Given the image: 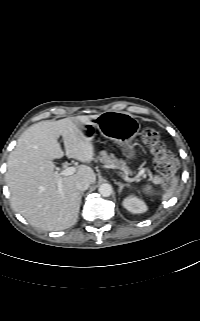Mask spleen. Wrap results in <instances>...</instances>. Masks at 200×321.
<instances>
[{
    "label": "spleen",
    "mask_w": 200,
    "mask_h": 321,
    "mask_svg": "<svg viewBox=\"0 0 200 321\" xmlns=\"http://www.w3.org/2000/svg\"><path fill=\"white\" fill-rule=\"evenodd\" d=\"M177 184H178V179H175L173 181L172 187L163 194L162 196L163 200H167L173 195L174 191L176 190ZM142 192L145 194H152L153 188L150 185H146L142 188Z\"/></svg>",
    "instance_id": "spleen-1"
}]
</instances>
